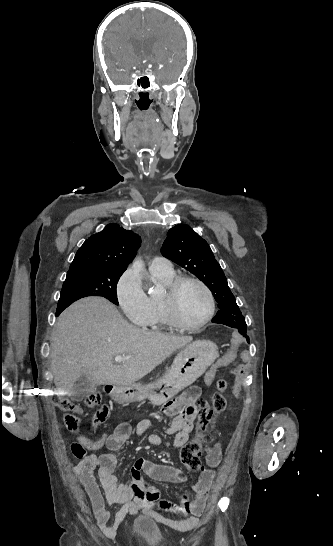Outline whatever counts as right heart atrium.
I'll use <instances>...</instances> for the list:
<instances>
[{
    "label": "right heart atrium",
    "mask_w": 333,
    "mask_h": 546,
    "mask_svg": "<svg viewBox=\"0 0 333 546\" xmlns=\"http://www.w3.org/2000/svg\"><path fill=\"white\" fill-rule=\"evenodd\" d=\"M115 297L124 315L133 323L143 325L151 313L149 297L145 294L134 270H126L115 286Z\"/></svg>",
    "instance_id": "1"
}]
</instances>
